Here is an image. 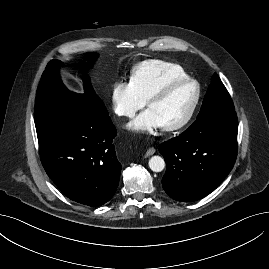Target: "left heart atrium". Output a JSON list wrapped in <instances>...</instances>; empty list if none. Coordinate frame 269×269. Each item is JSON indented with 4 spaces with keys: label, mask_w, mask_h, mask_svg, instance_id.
I'll return each instance as SVG.
<instances>
[{
    "label": "left heart atrium",
    "mask_w": 269,
    "mask_h": 269,
    "mask_svg": "<svg viewBox=\"0 0 269 269\" xmlns=\"http://www.w3.org/2000/svg\"><path fill=\"white\" fill-rule=\"evenodd\" d=\"M163 127L158 117L149 109L138 115L130 124L129 128L136 132L151 133Z\"/></svg>",
    "instance_id": "1"
}]
</instances>
